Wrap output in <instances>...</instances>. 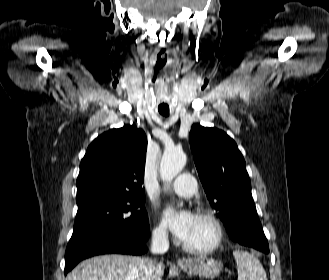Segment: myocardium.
<instances>
[{
	"label": "myocardium",
	"mask_w": 329,
	"mask_h": 280,
	"mask_svg": "<svg viewBox=\"0 0 329 280\" xmlns=\"http://www.w3.org/2000/svg\"><path fill=\"white\" fill-rule=\"evenodd\" d=\"M197 216L204 219L213 229L214 237L211 243L203 247H194L183 242V248L195 255H206L216 251L222 244L224 238V228L217 216L207 210V209H198Z\"/></svg>",
	"instance_id": "f54148a6"
}]
</instances>
